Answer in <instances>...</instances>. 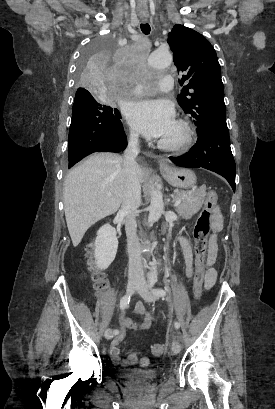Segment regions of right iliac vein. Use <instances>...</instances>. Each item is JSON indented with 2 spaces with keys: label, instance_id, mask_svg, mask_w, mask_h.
I'll return each instance as SVG.
<instances>
[{
  "label": "right iliac vein",
  "instance_id": "obj_1",
  "mask_svg": "<svg viewBox=\"0 0 275 409\" xmlns=\"http://www.w3.org/2000/svg\"><path fill=\"white\" fill-rule=\"evenodd\" d=\"M139 287H140V283L130 281V282H128V284H127V293H128V294H132V293H134ZM112 337H113L112 329L108 328V329L105 331V338H106L107 340H111Z\"/></svg>",
  "mask_w": 275,
  "mask_h": 409
}]
</instances>
